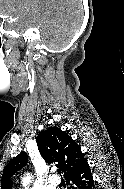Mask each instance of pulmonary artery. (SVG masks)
I'll return each instance as SVG.
<instances>
[{
	"label": "pulmonary artery",
	"instance_id": "1",
	"mask_svg": "<svg viewBox=\"0 0 124 189\" xmlns=\"http://www.w3.org/2000/svg\"><path fill=\"white\" fill-rule=\"evenodd\" d=\"M49 182H50V185H52L53 187H56L60 184V179L57 176L53 175L50 178Z\"/></svg>",
	"mask_w": 124,
	"mask_h": 189
}]
</instances>
